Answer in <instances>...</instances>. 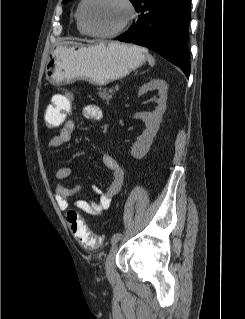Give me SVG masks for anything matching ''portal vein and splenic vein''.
Instances as JSON below:
<instances>
[{
	"label": "portal vein and splenic vein",
	"instance_id": "18ae733b",
	"mask_svg": "<svg viewBox=\"0 0 245 319\" xmlns=\"http://www.w3.org/2000/svg\"><path fill=\"white\" fill-rule=\"evenodd\" d=\"M110 91H111V92H113V91H114V88H113V87H112V88H110Z\"/></svg>",
	"mask_w": 245,
	"mask_h": 319
}]
</instances>
